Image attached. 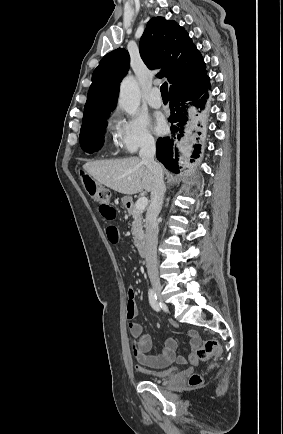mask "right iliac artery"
I'll use <instances>...</instances> for the list:
<instances>
[{"label": "right iliac artery", "mask_w": 283, "mask_h": 434, "mask_svg": "<svg viewBox=\"0 0 283 434\" xmlns=\"http://www.w3.org/2000/svg\"><path fill=\"white\" fill-rule=\"evenodd\" d=\"M149 303L155 311H160L161 304L158 302L157 296L152 289L149 290Z\"/></svg>", "instance_id": "82829eb1"}]
</instances>
